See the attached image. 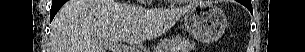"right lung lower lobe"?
<instances>
[{"label":"right lung lower lobe","mask_w":305,"mask_h":52,"mask_svg":"<svg viewBox=\"0 0 305 52\" xmlns=\"http://www.w3.org/2000/svg\"><path fill=\"white\" fill-rule=\"evenodd\" d=\"M66 2V0H52V7L50 12V22L54 18L55 14L61 8V6Z\"/></svg>","instance_id":"1"}]
</instances>
